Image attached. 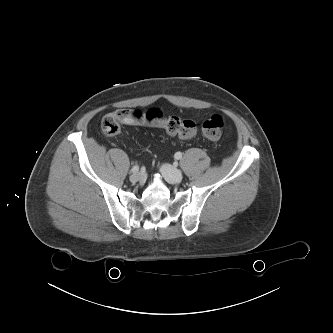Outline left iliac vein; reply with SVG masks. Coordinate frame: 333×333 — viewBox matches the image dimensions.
Returning <instances> with one entry per match:
<instances>
[{
  "instance_id": "obj_1",
  "label": "left iliac vein",
  "mask_w": 333,
  "mask_h": 333,
  "mask_svg": "<svg viewBox=\"0 0 333 333\" xmlns=\"http://www.w3.org/2000/svg\"><path fill=\"white\" fill-rule=\"evenodd\" d=\"M160 171L169 183L172 184L180 183L183 179L182 172L172 167L171 165L168 164L162 165Z\"/></svg>"
}]
</instances>
